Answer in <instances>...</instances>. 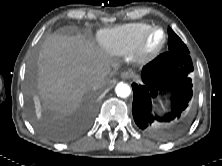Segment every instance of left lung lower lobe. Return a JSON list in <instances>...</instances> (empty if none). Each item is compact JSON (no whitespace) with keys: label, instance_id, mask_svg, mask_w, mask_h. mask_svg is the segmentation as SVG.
Returning <instances> with one entry per match:
<instances>
[{"label":"left lung lower lobe","instance_id":"obj_1","mask_svg":"<svg viewBox=\"0 0 222 166\" xmlns=\"http://www.w3.org/2000/svg\"><path fill=\"white\" fill-rule=\"evenodd\" d=\"M194 70L189 54L168 51L148 63L142 70L144 84H132V113L137 126L146 133L162 136L164 130L157 122L179 119L192 98L191 72ZM164 92L171 94L172 110L163 117L153 116L152 101Z\"/></svg>","mask_w":222,"mask_h":166}]
</instances>
